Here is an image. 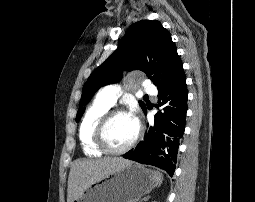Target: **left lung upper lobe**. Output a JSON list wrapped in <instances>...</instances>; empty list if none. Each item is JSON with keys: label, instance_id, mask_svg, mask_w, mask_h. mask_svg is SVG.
Masks as SVG:
<instances>
[{"label": "left lung upper lobe", "instance_id": "left-lung-upper-lobe-1", "mask_svg": "<svg viewBox=\"0 0 255 202\" xmlns=\"http://www.w3.org/2000/svg\"><path fill=\"white\" fill-rule=\"evenodd\" d=\"M123 69H139L158 90L172 84L184 71L170 33L157 20H141L129 27L118 48L88 78L83 86L76 121L85 106L102 86L118 82ZM143 111L145 104L139 102Z\"/></svg>", "mask_w": 255, "mask_h": 202}]
</instances>
